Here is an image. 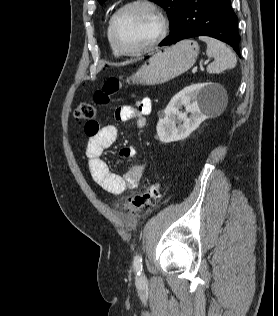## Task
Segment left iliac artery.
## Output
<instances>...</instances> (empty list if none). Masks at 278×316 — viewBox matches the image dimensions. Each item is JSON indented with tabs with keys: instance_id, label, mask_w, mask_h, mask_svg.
Here are the masks:
<instances>
[{
	"instance_id": "obj_1",
	"label": "left iliac artery",
	"mask_w": 278,
	"mask_h": 316,
	"mask_svg": "<svg viewBox=\"0 0 278 316\" xmlns=\"http://www.w3.org/2000/svg\"><path fill=\"white\" fill-rule=\"evenodd\" d=\"M133 265H134V268H135L137 274H140L142 271V258L140 255H136L134 257Z\"/></svg>"
}]
</instances>
